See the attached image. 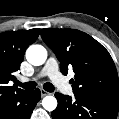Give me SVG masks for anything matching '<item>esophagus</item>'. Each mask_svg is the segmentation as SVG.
I'll list each match as a JSON object with an SVG mask.
<instances>
[{"mask_svg":"<svg viewBox=\"0 0 119 119\" xmlns=\"http://www.w3.org/2000/svg\"><path fill=\"white\" fill-rule=\"evenodd\" d=\"M40 92H41V96H42V97H44V96L50 94L49 92L45 91L44 89H41Z\"/></svg>","mask_w":119,"mask_h":119,"instance_id":"esophagus-1","label":"esophagus"}]
</instances>
